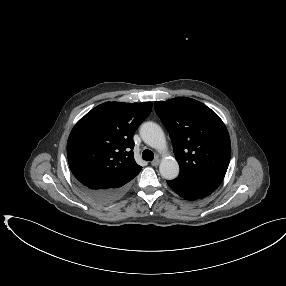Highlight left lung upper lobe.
Wrapping results in <instances>:
<instances>
[{
  "instance_id": "5c2ea615",
  "label": "left lung upper lobe",
  "mask_w": 286,
  "mask_h": 286,
  "mask_svg": "<svg viewBox=\"0 0 286 286\" xmlns=\"http://www.w3.org/2000/svg\"><path fill=\"white\" fill-rule=\"evenodd\" d=\"M170 133L178 177L218 188L231 157V142L220 117L203 103L180 97L154 102Z\"/></svg>"
}]
</instances>
